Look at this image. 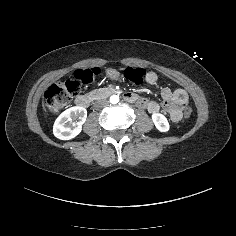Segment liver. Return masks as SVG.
I'll use <instances>...</instances> for the list:
<instances>
[{"instance_id":"liver-1","label":"liver","mask_w":236,"mask_h":236,"mask_svg":"<svg viewBox=\"0 0 236 236\" xmlns=\"http://www.w3.org/2000/svg\"><path fill=\"white\" fill-rule=\"evenodd\" d=\"M43 108H44V111H46V109H45V107L43 106Z\"/></svg>"}]
</instances>
